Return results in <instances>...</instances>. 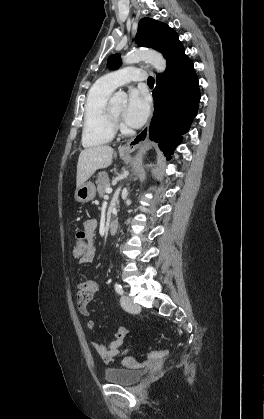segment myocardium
Instances as JSON below:
<instances>
[{
	"label": "myocardium",
	"mask_w": 264,
	"mask_h": 419,
	"mask_svg": "<svg viewBox=\"0 0 264 419\" xmlns=\"http://www.w3.org/2000/svg\"><path fill=\"white\" fill-rule=\"evenodd\" d=\"M109 113L116 127L120 120V115L116 114L111 107H109Z\"/></svg>",
	"instance_id": "f54148a6"
}]
</instances>
